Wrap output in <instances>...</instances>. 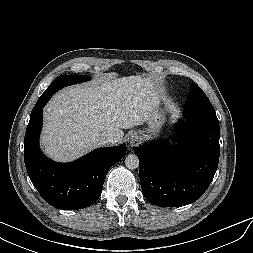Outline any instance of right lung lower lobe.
Here are the masks:
<instances>
[{
    "instance_id": "98d812e1",
    "label": "right lung lower lobe",
    "mask_w": 253,
    "mask_h": 253,
    "mask_svg": "<svg viewBox=\"0 0 253 253\" xmlns=\"http://www.w3.org/2000/svg\"><path fill=\"white\" fill-rule=\"evenodd\" d=\"M43 107L31 113L25 133L27 173L48 204L64 210L91 206L101 195L108 170L125 155L126 146L100 148L75 162L56 163L39 148Z\"/></svg>"
}]
</instances>
